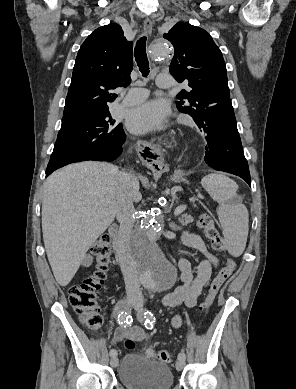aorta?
Segmentation results:
<instances>
[{
  "instance_id": "1",
  "label": "aorta",
  "mask_w": 296,
  "mask_h": 389,
  "mask_svg": "<svg viewBox=\"0 0 296 389\" xmlns=\"http://www.w3.org/2000/svg\"><path fill=\"white\" fill-rule=\"evenodd\" d=\"M149 59L157 65H164L172 59V52L164 40L153 44ZM161 223L152 211L147 212L134 229L129 248L137 264L142 286L151 291H163L172 287L175 267L166 259L159 245Z\"/></svg>"
}]
</instances>
